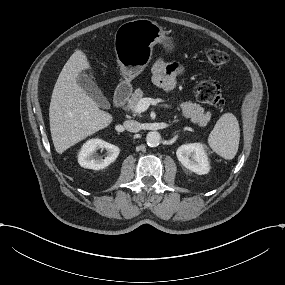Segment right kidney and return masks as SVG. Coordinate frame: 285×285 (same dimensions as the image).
Listing matches in <instances>:
<instances>
[{
  "mask_svg": "<svg viewBox=\"0 0 285 285\" xmlns=\"http://www.w3.org/2000/svg\"><path fill=\"white\" fill-rule=\"evenodd\" d=\"M98 148H106L107 157H105V159H99L93 156V153ZM119 153V147L113 144L105 142L102 139H90L81 147L78 154V163L84 168L99 170L114 162Z\"/></svg>",
  "mask_w": 285,
  "mask_h": 285,
  "instance_id": "1",
  "label": "right kidney"
}]
</instances>
